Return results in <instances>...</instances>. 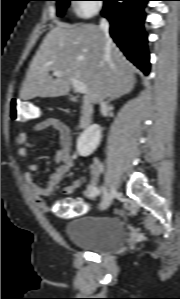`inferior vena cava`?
Masks as SVG:
<instances>
[{"mask_svg":"<svg viewBox=\"0 0 180 299\" xmlns=\"http://www.w3.org/2000/svg\"><path fill=\"white\" fill-rule=\"evenodd\" d=\"M100 28L105 32L106 36L109 37L108 30H109V23L105 18H102L100 21Z\"/></svg>","mask_w":180,"mask_h":299,"instance_id":"inferior-vena-cava-1","label":"inferior vena cava"}]
</instances>
